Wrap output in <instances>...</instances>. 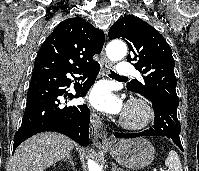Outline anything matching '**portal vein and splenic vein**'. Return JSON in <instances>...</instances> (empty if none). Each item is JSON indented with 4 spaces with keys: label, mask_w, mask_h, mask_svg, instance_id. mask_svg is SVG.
<instances>
[{
    "label": "portal vein and splenic vein",
    "mask_w": 199,
    "mask_h": 171,
    "mask_svg": "<svg viewBox=\"0 0 199 171\" xmlns=\"http://www.w3.org/2000/svg\"><path fill=\"white\" fill-rule=\"evenodd\" d=\"M154 171H156V170H154ZM159 171H165V170L161 168V169H159Z\"/></svg>",
    "instance_id": "1"
}]
</instances>
